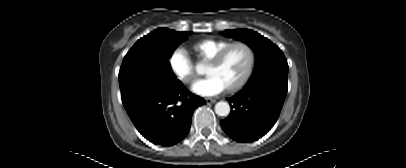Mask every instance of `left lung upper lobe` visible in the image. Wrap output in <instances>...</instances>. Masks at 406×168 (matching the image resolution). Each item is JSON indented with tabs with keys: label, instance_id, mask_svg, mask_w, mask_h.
Here are the masks:
<instances>
[{
	"label": "left lung upper lobe",
	"instance_id": "left-lung-upper-lobe-1",
	"mask_svg": "<svg viewBox=\"0 0 406 168\" xmlns=\"http://www.w3.org/2000/svg\"><path fill=\"white\" fill-rule=\"evenodd\" d=\"M225 36L241 40L256 54V67L247 84L274 81L287 84L288 64L278 46L257 32L248 29L226 30Z\"/></svg>",
	"mask_w": 406,
	"mask_h": 168
}]
</instances>
